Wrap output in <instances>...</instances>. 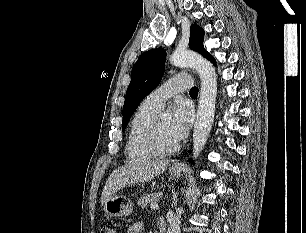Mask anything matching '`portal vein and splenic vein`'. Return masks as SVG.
<instances>
[{
  "instance_id": "obj_1",
  "label": "portal vein and splenic vein",
  "mask_w": 306,
  "mask_h": 233,
  "mask_svg": "<svg viewBox=\"0 0 306 233\" xmlns=\"http://www.w3.org/2000/svg\"><path fill=\"white\" fill-rule=\"evenodd\" d=\"M150 208L155 210V209L158 208V204L157 203H152V204H150Z\"/></svg>"
}]
</instances>
